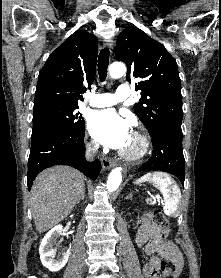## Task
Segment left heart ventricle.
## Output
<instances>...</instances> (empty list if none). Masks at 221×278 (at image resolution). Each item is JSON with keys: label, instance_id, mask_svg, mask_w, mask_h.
Returning a JSON list of instances; mask_svg holds the SVG:
<instances>
[{"label": "left heart ventricle", "instance_id": "obj_1", "mask_svg": "<svg viewBox=\"0 0 221 278\" xmlns=\"http://www.w3.org/2000/svg\"><path fill=\"white\" fill-rule=\"evenodd\" d=\"M137 148H138V142H137V140H135V139H133V138H130L129 143L126 145V147L124 148V150L133 152V151H136Z\"/></svg>", "mask_w": 221, "mask_h": 278}]
</instances>
